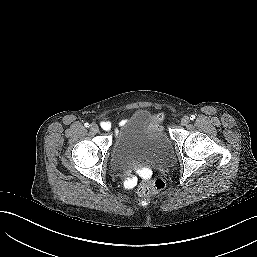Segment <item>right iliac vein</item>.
<instances>
[{
	"label": "right iliac vein",
	"mask_w": 257,
	"mask_h": 257,
	"mask_svg": "<svg viewBox=\"0 0 257 257\" xmlns=\"http://www.w3.org/2000/svg\"><path fill=\"white\" fill-rule=\"evenodd\" d=\"M90 130L94 133H97L99 131V127L97 124L93 123L90 125Z\"/></svg>",
	"instance_id": "63e3f726"
}]
</instances>
